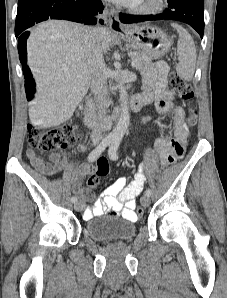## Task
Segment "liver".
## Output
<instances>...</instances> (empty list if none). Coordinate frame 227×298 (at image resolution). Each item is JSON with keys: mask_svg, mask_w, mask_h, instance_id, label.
I'll list each match as a JSON object with an SVG mask.
<instances>
[{"mask_svg": "<svg viewBox=\"0 0 227 298\" xmlns=\"http://www.w3.org/2000/svg\"><path fill=\"white\" fill-rule=\"evenodd\" d=\"M89 28L64 20H48L34 28L27 40V63L37 92L31 117L38 128L58 126L69 120L86 95L91 74L86 49ZM102 51L112 36L95 28Z\"/></svg>", "mask_w": 227, "mask_h": 298, "instance_id": "liver-1", "label": "liver"}]
</instances>
